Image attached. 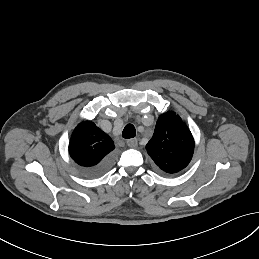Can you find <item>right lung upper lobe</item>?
I'll list each match as a JSON object with an SVG mask.
<instances>
[{
    "mask_svg": "<svg viewBox=\"0 0 259 259\" xmlns=\"http://www.w3.org/2000/svg\"><path fill=\"white\" fill-rule=\"evenodd\" d=\"M115 148L111 138L93 122L85 121L74 129L69 154L80 166L91 167L100 163Z\"/></svg>",
    "mask_w": 259,
    "mask_h": 259,
    "instance_id": "obj_1",
    "label": "right lung upper lobe"
}]
</instances>
